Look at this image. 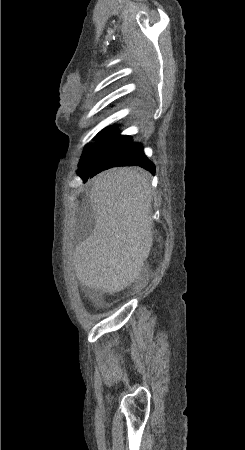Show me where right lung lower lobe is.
Wrapping results in <instances>:
<instances>
[{"instance_id": "98d812e1", "label": "right lung lower lobe", "mask_w": 245, "mask_h": 450, "mask_svg": "<svg viewBox=\"0 0 245 450\" xmlns=\"http://www.w3.org/2000/svg\"><path fill=\"white\" fill-rule=\"evenodd\" d=\"M127 165H137L150 171L152 174L155 173L154 164L150 160H148L141 148L132 144V141H130L120 150L107 153L93 168H90L89 170L83 172H78V175L83 179L84 182H86L89 177H93L102 170L114 166Z\"/></svg>"}]
</instances>
